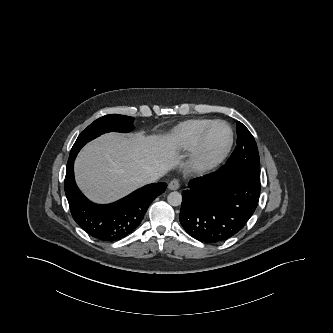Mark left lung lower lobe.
<instances>
[{
  "mask_svg": "<svg viewBox=\"0 0 333 333\" xmlns=\"http://www.w3.org/2000/svg\"><path fill=\"white\" fill-rule=\"evenodd\" d=\"M260 189V179L225 164L189 182V189L182 192L180 223L201 242L225 241L250 219L258 205Z\"/></svg>",
  "mask_w": 333,
  "mask_h": 333,
  "instance_id": "obj_1",
  "label": "left lung lower lobe"
}]
</instances>
